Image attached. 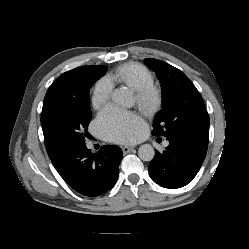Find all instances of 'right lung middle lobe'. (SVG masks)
Instances as JSON below:
<instances>
[{"instance_id":"right-lung-middle-lobe-1","label":"right lung middle lobe","mask_w":249,"mask_h":249,"mask_svg":"<svg viewBox=\"0 0 249 249\" xmlns=\"http://www.w3.org/2000/svg\"><path fill=\"white\" fill-rule=\"evenodd\" d=\"M107 71L106 66L90 65L57 103L41 115L46 149L83 144L92 118L89 91Z\"/></svg>"}]
</instances>
